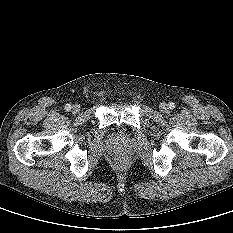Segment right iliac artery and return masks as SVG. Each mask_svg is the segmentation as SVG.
Wrapping results in <instances>:
<instances>
[{
	"instance_id": "82829eb1",
	"label": "right iliac artery",
	"mask_w": 233,
	"mask_h": 233,
	"mask_svg": "<svg viewBox=\"0 0 233 233\" xmlns=\"http://www.w3.org/2000/svg\"><path fill=\"white\" fill-rule=\"evenodd\" d=\"M64 108H65L66 111H69L71 109V105L70 104H66Z\"/></svg>"
}]
</instances>
